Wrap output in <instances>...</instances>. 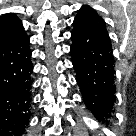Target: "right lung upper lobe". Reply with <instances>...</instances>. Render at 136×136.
Returning a JSON list of instances; mask_svg holds the SVG:
<instances>
[{
    "mask_svg": "<svg viewBox=\"0 0 136 136\" xmlns=\"http://www.w3.org/2000/svg\"><path fill=\"white\" fill-rule=\"evenodd\" d=\"M21 20L13 13L0 17V43L25 35Z\"/></svg>",
    "mask_w": 136,
    "mask_h": 136,
    "instance_id": "obj_1",
    "label": "right lung upper lobe"
}]
</instances>
